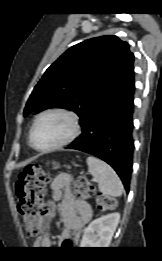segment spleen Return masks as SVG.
Instances as JSON below:
<instances>
[{
  "label": "spleen",
  "mask_w": 162,
  "mask_h": 261,
  "mask_svg": "<svg viewBox=\"0 0 162 261\" xmlns=\"http://www.w3.org/2000/svg\"><path fill=\"white\" fill-rule=\"evenodd\" d=\"M90 174L97 179L99 190L106 196H121L124 188L116 172L106 162L94 157L87 158Z\"/></svg>",
  "instance_id": "1"
}]
</instances>
